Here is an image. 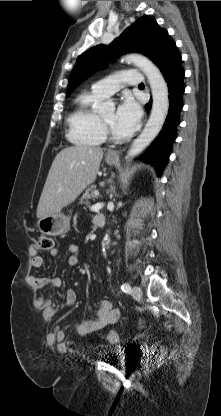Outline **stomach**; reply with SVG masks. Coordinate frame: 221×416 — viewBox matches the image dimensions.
I'll use <instances>...</instances> for the list:
<instances>
[{
  "instance_id": "obj_1",
  "label": "stomach",
  "mask_w": 221,
  "mask_h": 416,
  "mask_svg": "<svg viewBox=\"0 0 221 416\" xmlns=\"http://www.w3.org/2000/svg\"><path fill=\"white\" fill-rule=\"evenodd\" d=\"M106 163L110 166L118 163V159L111 160L106 158ZM38 228L44 235L58 236L66 233L70 228V218L59 212L39 219Z\"/></svg>"
}]
</instances>
